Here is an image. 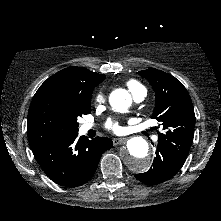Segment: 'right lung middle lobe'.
I'll use <instances>...</instances> for the list:
<instances>
[{
  "label": "right lung middle lobe",
  "instance_id": "dd1d6c3e",
  "mask_svg": "<svg viewBox=\"0 0 221 221\" xmlns=\"http://www.w3.org/2000/svg\"><path fill=\"white\" fill-rule=\"evenodd\" d=\"M91 96L47 92L34 97L28 112L29 143L78 132V117L91 113Z\"/></svg>",
  "mask_w": 221,
  "mask_h": 221
}]
</instances>
